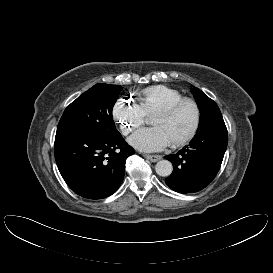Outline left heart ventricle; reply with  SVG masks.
Here are the masks:
<instances>
[{"label": "left heart ventricle", "instance_id": "left-heart-ventricle-1", "mask_svg": "<svg viewBox=\"0 0 273 273\" xmlns=\"http://www.w3.org/2000/svg\"><path fill=\"white\" fill-rule=\"evenodd\" d=\"M195 117L194 107L190 103H184L178 106L169 117L157 119L153 124L164 133L171 144H175L190 134Z\"/></svg>", "mask_w": 273, "mask_h": 273}]
</instances>
